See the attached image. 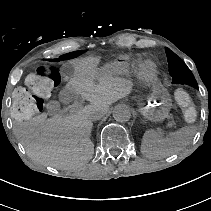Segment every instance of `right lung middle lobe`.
Wrapping results in <instances>:
<instances>
[{
	"mask_svg": "<svg viewBox=\"0 0 211 211\" xmlns=\"http://www.w3.org/2000/svg\"><path fill=\"white\" fill-rule=\"evenodd\" d=\"M84 52H85V50H79V51L67 53V54H64V55L60 56L58 59H54V61H61V60L71 59V58L79 56L80 54H82Z\"/></svg>",
	"mask_w": 211,
	"mask_h": 211,
	"instance_id": "dd1d6c3e",
	"label": "right lung middle lobe"
}]
</instances>
